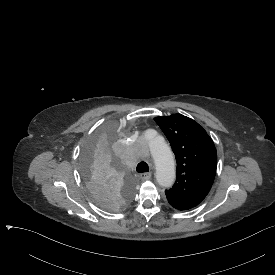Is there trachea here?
Masks as SVG:
<instances>
[{"mask_svg": "<svg viewBox=\"0 0 275 275\" xmlns=\"http://www.w3.org/2000/svg\"><path fill=\"white\" fill-rule=\"evenodd\" d=\"M136 170H137L138 173L148 172L149 171V166L145 162H140L137 165Z\"/></svg>", "mask_w": 275, "mask_h": 275, "instance_id": "obj_1", "label": "trachea"}]
</instances>
